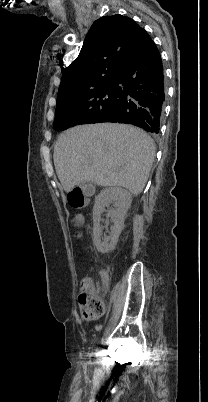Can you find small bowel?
<instances>
[{
	"label": "small bowel",
	"mask_w": 208,
	"mask_h": 402,
	"mask_svg": "<svg viewBox=\"0 0 208 402\" xmlns=\"http://www.w3.org/2000/svg\"><path fill=\"white\" fill-rule=\"evenodd\" d=\"M101 273H104L106 276L108 275L107 271H103ZM83 280H86V278H84ZM96 296V295H93ZM98 297V296H96ZM101 321V318L99 315H91L89 317V322H87L86 324H84V327H86L87 329H90L92 327V324H99Z\"/></svg>",
	"instance_id": "c3829d8e"
}]
</instances>
